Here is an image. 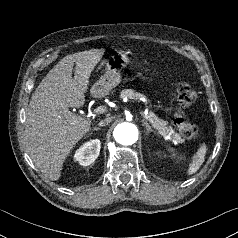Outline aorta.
<instances>
[{"label": "aorta", "instance_id": "762f6f07", "mask_svg": "<svg viewBox=\"0 0 238 238\" xmlns=\"http://www.w3.org/2000/svg\"><path fill=\"white\" fill-rule=\"evenodd\" d=\"M113 135L117 143L132 145L138 139V129L134 124L124 122L115 127Z\"/></svg>", "mask_w": 238, "mask_h": 238}]
</instances>
